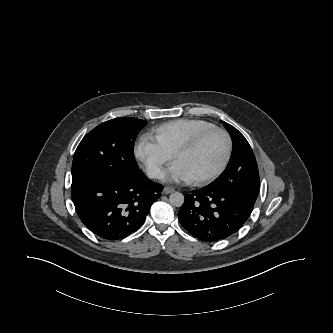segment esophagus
Listing matches in <instances>:
<instances>
[{
	"label": "esophagus",
	"mask_w": 333,
	"mask_h": 333,
	"mask_svg": "<svg viewBox=\"0 0 333 333\" xmlns=\"http://www.w3.org/2000/svg\"><path fill=\"white\" fill-rule=\"evenodd\" d=\"M172 192H174V188H171V187H164V189H163V193H164V194H170V193H172Z\"/></svg>",
	"instance_id": "obj_1"
}]
</instances>
